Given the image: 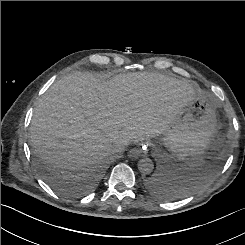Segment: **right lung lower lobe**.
<instances>
[{"mask_svg":"<svg viewBox=\"0 0 245 245\" xmlns=\"http://www.w3.org/2000/svg\"><path fill=\"white\" fill-rule=\"evenodd\" d=\"M49 184L59 193L65 196H75L77 195V190L72 188L68 180L64 175L61 176H51L48 178Z\"/></svg>","mask_w":245,"mask_h":245,"instance_id":"right-lung-lower-lobe-1","label":"right lung lower lobe"}]
</instances>
